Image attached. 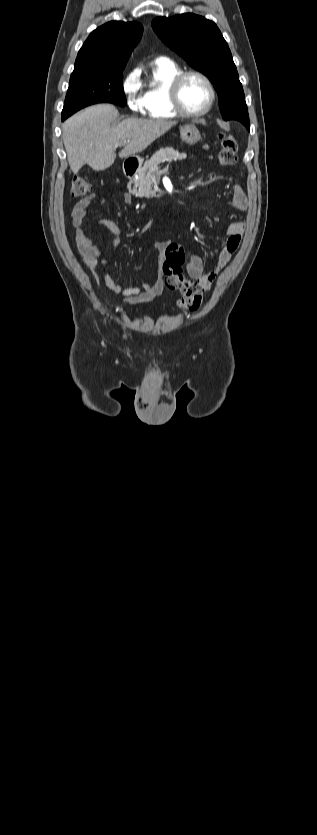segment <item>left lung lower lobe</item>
Returning <instances> with one entry per match:
<instances>
[{
	"label": "left lung lower lobe",
	"instance_id": "1",
	"mask_svg": "<svg viewBox=\"0 0 317 835\" xmlns=\"http://www.w3.org/2000/svg\"><path fill=\"white\" fill-rule=\"evenodd\" d=\"M246 128H247L248 130H250V127H249V126H246Z\"/></svg>",
	"mask_w": 317,
	"mask_h": 835
}]
</instances>
